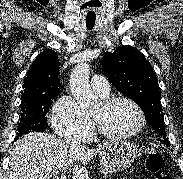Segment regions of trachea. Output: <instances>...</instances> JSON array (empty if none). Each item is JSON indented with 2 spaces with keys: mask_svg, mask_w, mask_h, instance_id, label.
<instances>
[{
  "mask_svg": "<svg viewBox=\"0 0 183 179\" xmlns=\"http://www.w3.org/2000/svg\"><path fill=\"white\" fill-rule=\"evenodd\" d=\"M95 20H96V14L94 12H89L86 18L87 29H92L94 27Z\"/></svg>",
  "mask_w": 183,
  "mask_h": 179,
  "instance_id": "1",
  "label": "trachea"
}]
</instances>
